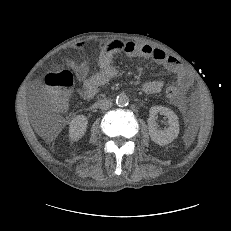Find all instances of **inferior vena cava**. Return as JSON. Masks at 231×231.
<instances>
[{
    "label": "inferior vena cava",
    "mask_w": 231,
    "mask_h": 231,
    "mask_svg": "<svg viewBox=\"0 0 231 231\" xmlns=\"http://www.w3.org/2000/svg\"><path fill=\"white\" fill-rule=\"evenodd\" d=\"M112 101L109 99H103L99 102V108L103 111L108 110L112 107Z\"/></svg>",
    "instance_id": "inferior-vena-cava-1"
}]
</instances>
